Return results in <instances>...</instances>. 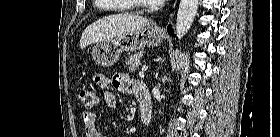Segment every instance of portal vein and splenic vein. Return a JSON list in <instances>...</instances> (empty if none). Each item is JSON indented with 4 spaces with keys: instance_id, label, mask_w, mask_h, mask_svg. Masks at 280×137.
<instances>
[{
    "instance_id": "1",
    "label": "portal vein and splenic vein",
    "mask_w": 280,
    "mask_h": 137,
    "mask_svg": "<svg viewBox=\"0 0 280 137\" xmlns=\"http://www.w3.org/2000/svg\"><path fill=\"white\" fill-rule=\"evenodd\" d=\"M147 69H148V66L144 65V66L142 67V71L140 72V74H143V72L146 71Z\"/></svg>"
}]
</instances>
